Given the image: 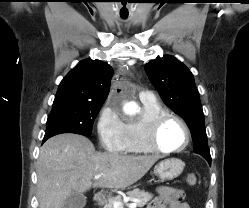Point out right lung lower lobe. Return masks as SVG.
Listing matches in <instances>:
<instances>
[{
	"instance_id": "obj_1",
	"label": "right lung lower lobe",
	"mask_w": 249,
	"mask_h": 208,
	"mask_svg": "<svg viewBox=\"0 0 249 208\" xmlns=\"http://www.w3.org/2000/svg\"><path fill=\"white\" fill-rule=\"evenodd\" d=\"M54 135H57V134H50V135H45L44 136V139H43V142H45L48 138L54 136Z\"/></svg>"
}]
</instances>
